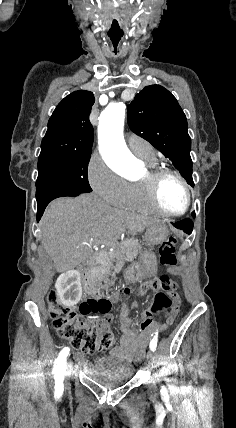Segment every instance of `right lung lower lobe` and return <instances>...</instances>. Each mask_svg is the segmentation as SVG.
Masks as SVG:
<instances>
[{
    "label": "right lung lower lobe",
    "instance_id": "1",
    "mask_svg": "<svg viewBox=\"0 0 236 428\" xmlns=\"http://www.w3.org/2000/svg\"><path fill=\"white\" fill-rule=\"evenodd\" d=\"M79 195V194H77ZM77 195H73V196H77ZM53 199H50L48 201H45L43 203L38 204V211H37V221L40 220L41 216L43 215V212L46 208V206L49 204L50 201H52Z\"/></svg>",
    "mask_w": 236,
    "mask_h": 428
}]
</instances>
